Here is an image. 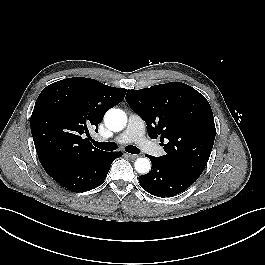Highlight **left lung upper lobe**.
Returning a JSON list of instances; mask_svg holds the SVG:
<instances>
[{"instance_id": "obj_1", "label": "left lung upper lobe", "mask_w": 265, "mask_h": 265, "mask_svg": "<svg viewBox=\"0 0 265 265\" xmlns=\"http://www.w3.org/2000/svg\"><path fill=\"white\" fill-rule=\"evenodd\" d=\"M129 106L146 122L150 138L163 142L158 159L198 179L211 154L216 130L206 98L191 86L170 82L126 94Z\"/></svg>"}]
</instances>
